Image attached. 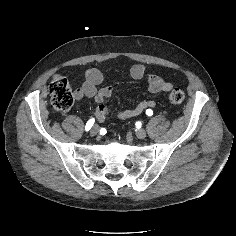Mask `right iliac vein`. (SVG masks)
<instances>
[{
  "mask_svg": "<svg viewBox=\"0 0 236 236\" xmlns=\"http://www.w3.org/2000/svg\"><path fill=\"white\" fill-rule=\"evenodd\" d=\"M98 131H99V128H98V126H93L92 127V129H91V131H90V135L91 136H95L97 133H98Z\"/></svg>",
  "mask_w": 236,
  "mask_h": 236,
  "instance_id": "obj_1",
  "label": "right iliac vein"
}]
</instances>
